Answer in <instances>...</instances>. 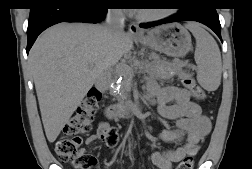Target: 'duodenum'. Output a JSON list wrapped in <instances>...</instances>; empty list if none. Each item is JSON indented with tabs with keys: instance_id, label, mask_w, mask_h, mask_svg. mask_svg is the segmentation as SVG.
<instances>
[{
	"instance_id": "1",
	"label": "duodenum",
	"mask_w": 252,
	"mask_h": 169,
	"mask_svg": "<svg viewBox=\"0 0 252 169\" xmlns=\"http://www.w3.org/2000/svg\"><path fill=\"white\" fill-rule=\"evenodd\" d=\"M100 91L104 92L105 89L102 84L98 85ZM138 111L132 104L125 105H113L106 111V115L109 119L122 118L126 115L136 114Z\"/></svg>"
}]
</instances>
